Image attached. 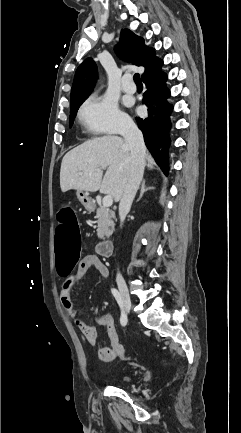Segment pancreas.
<instances>
[{
	"mask_svg": "<svg viewBox=\"0 0 241 433\" xmlns=\"http://www.w3.org/2000/svg\"><path fill=\"white\" fill-rule=\"evenodd\" d=\"M97 219V236L99 239H105V237H109L114 231V218L115 214L113 211L108 209L107 207L100 206L96 210Z\"/></svg>",
	"mask_w": 241,
	"mask_h": 433,
	"instance_id": "obj_1",
	"label": "pancreas"
}]
</instances>
